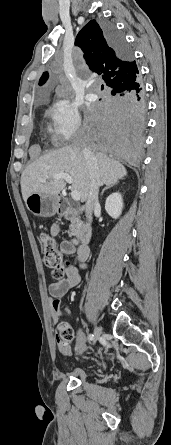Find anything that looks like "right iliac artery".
Listing matches in <instances>:
<instances>
[{
  "mask_svg": "<svg viewBox=\"0 0 171 445\" xmlns=\"http://www.w3.org/2000/svg\"><path fill=\"white\" fill-rule=\"evenodd\" d=\"M88 337H89V340H90V341L94 340V335H93V334H89Z\"/></svg>",
  "mask_w": 171,
  "mask_h": 445,
  "instance_id": "right-iliac-artery-1",
  "label": "right iliac artery"
}]
</instances>
